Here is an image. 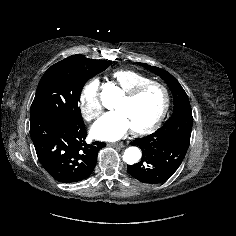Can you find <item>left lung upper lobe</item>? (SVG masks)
<instances>
[{
	"instance_id": "1",
	"label": "left lung upper lobe",
	"mask_w": 236,
	"mask_h": 236,
	"mask_svg": "<svg viewBox=\"0 0 236 236\" xmlns=\"http://www.w3.org/2000/svg\"><path fill=\"white\" fill-rule=\"evenodd\" d=\"M138 64L150 70L151 72L161 76V78L167 83L173 94V99H174L173 111L177 110L180 107H190V103L186 92L184 91L180 83L169 72L155 66H150L145 63H138Z\"/></svg>"
}]
</instances>
